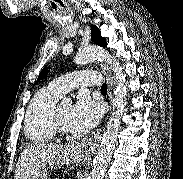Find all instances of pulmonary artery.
I'll return each instance as SVG.
<instances>
[{
  "label": "pulmonary artery",
  "mask_w": 183,
  "mask_h": 179,
  "mask_svg": "<svg viewBox=\"0 0 183 179\" xmlns=\"http://www.w3.org/2000/svg\"><path fill=\"white\" fill-rule=\"evenodd\" d=\"M100 82L101 77L97 72L83 70L60 76L51 81L49 87L62 96L78 86H98Z\"/></svg>",
  "instance_id": "1"
}]
</instances>
